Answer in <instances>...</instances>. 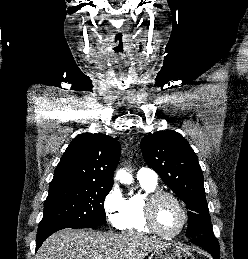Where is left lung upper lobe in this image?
Masks as SVG:
<instances>
[{"label": "left lung upper lobe", "instance_id": "1", "mask_svg": "<svg viewBox=\"0 0 248 259\" xmlns=\"http://www.w3.org/2000/svg\"><path fill=\"white\" fill-rule=\"evenodd\" d=\"M141 150L146 163L186 204V236L213 235L203 174L198 159L187 140L172 130L143 137Z\"/></svg>", "mask_w": 248, "mask_h": 259}]
</instances>
